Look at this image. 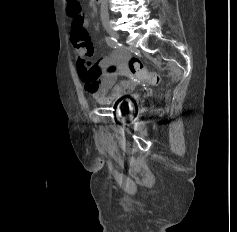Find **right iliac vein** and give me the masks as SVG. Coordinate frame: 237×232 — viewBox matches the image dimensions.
Listing matches in <instances>:
<instances>
[{
  "instance_id": "1",
  "label": "right iliac vein",
  "mask_w": 237,
  "mask_h": 232,
  "mask_svg": "<svg viewBox=\"0 0 237 232\" xmlns=\"http://www.w3.org/2000/svg\"><path fill=\"white\" fill-rule=\"evenodd\" d=\"M106 30L115 38H119L118 33H116L110 26H106Z\"/></svg>"
}]
</instances>
